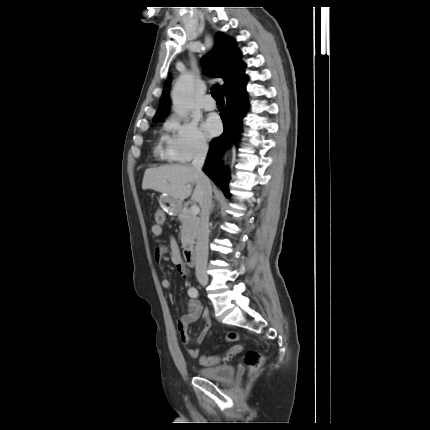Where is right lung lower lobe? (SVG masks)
Listing matches in <instances>:
<instances>
[{
	"mask_svg": "<svg viewBox=\"0 0 430 430\" xmlns=\"http://www.w3.org/2000/svg\"><path fill=\"white\" fill-rule=\"evenodd\" d=\"M245 82L246 78L236 87L230 88L226 91V109L221 112V118L224 123V132L220 137L211 141L209 153L203 168V171L214 181V183L221 187L227 198L231 195L227 190L228 172L224 171V167L220 162L219 157L232 140H237L242 131L241 120L247 109Z\"/></svg>",
	"mask_w": 430,
	"mask_h": 430,
	"instance_id": "right-lung-lower-lobe-1",
	"label": "right lung lower lobe"
}]
</instances>
